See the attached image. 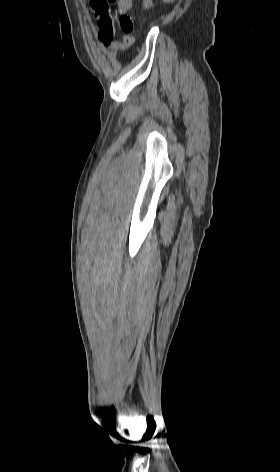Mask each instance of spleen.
<instances>
[{
  "label": "spleen",
  "mask_w": 280,
  "mask_h": 472,
  "mask_svg": "<svg viewBox=\"0 0 280 472\" xmlns=\"http://www.w3.org/2000/svg\"><path fill=\"white\" fill-rule=\"evenodd\" d=\"M166 1H174V0H166Z\"/></svg>",
  "instance_id": "spleen-1"
}]
</instances>
